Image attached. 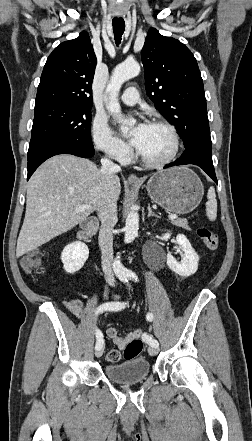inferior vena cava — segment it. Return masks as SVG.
Masks as SVG:
<instances>
[{
	"instance_id": "inferior-vena-cava-1",
	"label": "inferior vena cava",
	"mask_w": 252,
	"mask_h": 441,
	"mask_svg": "<svg viewBox=\"0 0 252 441\" xmlns=\"http://www.w3.org/2000/svg\"><path fill=\"white\" fill-rule=\"evenodd\" d=\"M102 173L105 175L107 182L104 185V196L102 204L99 207V219L101 228L99 231V245L102 254V269L105 279L110 285H114L115 278L112 271L113 265V228L117 217V203L107 195L110 181L121 171L119 165L113 163L109 158L101 159Z\"/></svg>"
}]
</instances>
